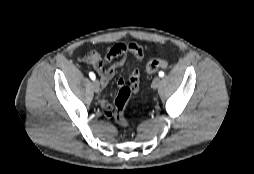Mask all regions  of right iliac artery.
Segmentation results:
<instances>
[{"label": "right iliac artery", "mask_w": 254, "mask_h": 174, "mask_svg": "<svg viewBox=\"0 0 254 174\" xmlns=\"http://www.w3.org/2000/svg\"><path fill=\"white\" fill-rule=\"evenodd\" d=\"M89 76H90V78H91L92 80H95V78H96V77H95V74H94L93 72H90V73H89Z\"/></svg>", "instance_id": "1"}]
</instances>
